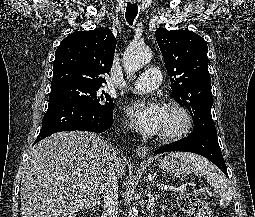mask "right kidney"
Here are the masks:
<instances>
[{
    "label": "right kidney",
    "mask_w": 255,
    "mask_h": 217,
    "mask_svg": "<svg viewBox=\"0 0 255 217\" xmlns=\"http://www.w3.org/2000/svg\"><path fill=\"white\" fill-rule=\"evenodd\" d=\"M68 217H76V215L73 214V215H69Z\"/></svg>",
    "instance_id": "right-kidney-1"
}]
</instances>
